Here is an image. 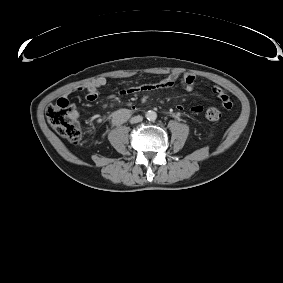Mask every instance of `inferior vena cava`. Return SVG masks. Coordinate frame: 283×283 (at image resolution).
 Listing matches in <instances>:
<instances>
[{
	"label": "inferior vena cava",
	"mask_w": 283,
	"mask_h": 283,
	"mask_svg": "<svg viewBox=\"0 0 283 283\" xmlns=\"http://www.w3.org/2000/svg\"><path fill=\"white\" fill-rule=\"evenodd\" d=\"M143 120V117L138 115V116H134L130 119V122L133 124V123H138V122H141Z\"/></svg>",
	"instance_id": "1"
}]
</instances>
